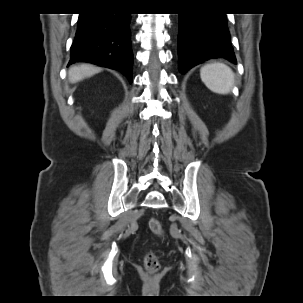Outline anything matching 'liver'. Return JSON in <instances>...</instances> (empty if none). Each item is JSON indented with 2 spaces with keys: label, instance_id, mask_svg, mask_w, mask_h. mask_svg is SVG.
Instances as JSON below:
<instances>
[{
  "label": "liver",
  "instance_id": "liver-1",
  "mask_svg": "<svg viewBox=\"0 0 303 303\" xmlns=\"http://www.w3.org/2000/svg\"><path fill=\"white\" fill-rule=\"evenodd\" d=\"M101 69L98 67H95L90 64H82L79 66H73L68 71V77L71 83H76L78 81L83 80L86 77H90L98 72H100Z\"/></svg>",
  "mask_w": 303,
  "mask_h": 303
}]
</instances>
